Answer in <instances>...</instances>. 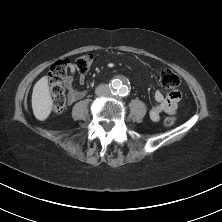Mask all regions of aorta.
<instances>
[{"mask_svg": "<svg viewBox=\"0 0 222 222\" xmlns=\"http://www.w3.org/2000/svg\"><path fill=\"white\" fill-rule=\"evenodd\" d=\"M111 86L120 96H126L129 92L128 86L121 79H114Z\"/></svg>", "mask_w": 222, "mask_h": 222, "instance_id": "aorta-1", "label": "aorta"}]
</instances>
